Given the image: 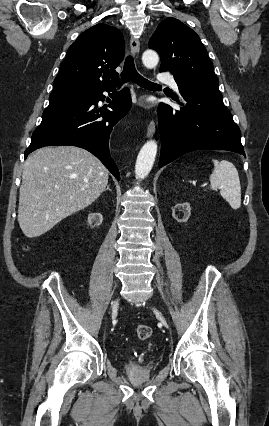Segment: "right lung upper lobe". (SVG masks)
Returning <instances> with one entry per match:
<instances>
[{"instance_id":"cb5924a9","label":"right lung upper lobe","mask_w":269,"mask_h":426,"mask_svg":"<svg viewBox=\"0 0 269 426\" xmlns=\"http://www.w3.org/2000/svg\"><path fill=\"white\" fill-rule=\"evenodd\" d=\"M123 56V35L117 28L97 24L87 29L69 47L52 92H90L115 86L119 75L115 68Z\"/></svg>"}]
</instances>
